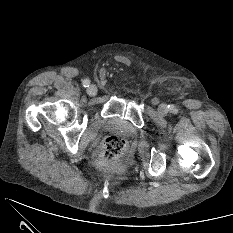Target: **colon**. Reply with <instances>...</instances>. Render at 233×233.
Returning <instances> with one entry per match:
<instances>
[{
  "label": "colon",
  "mask_w": 233,
  "mask_h": 233,
  "mask_svg": "<svg viewBox=\"0 0 233 233\" xmlns=\"http://www.w3.org/2000/svg\"><path fill=\"white\" fill-rule=\"evenodd\" d=\"M127 143L119 136H108L94 152L96 164L102 168H111L119 163L126 152Z\"/></svg>",
  "instance_id": "5ec220e1"
}]
</instances>
